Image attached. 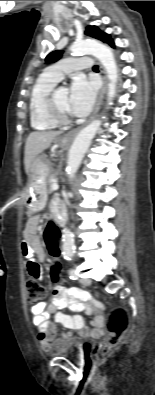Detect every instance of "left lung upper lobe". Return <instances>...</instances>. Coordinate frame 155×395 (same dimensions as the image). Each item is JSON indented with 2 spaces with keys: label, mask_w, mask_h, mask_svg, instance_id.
<instances>
[{
  "label": "left lung upper lobe",
  "mask_w": 155,
  "mask_h": 395,
  "mask_svg": "<svg viewBox=\"0 0 155 395\" xmlns=\"http://www.w3.org/2000/svg\"><path fill=\"white\" fill-rule=\"evenodd\" d=\"M85 34L90 37L101 40L105 43H108L112 47H114V43H113L112 39L110 38V36L104 32H100L96 26H88L86 28ZM61 55H62V51H54V52L47 55V57L45 58V61L47 64L56 62L61 57Z\"/></svg>",
  "instance_id": "obj_1"
}]
</instances>
